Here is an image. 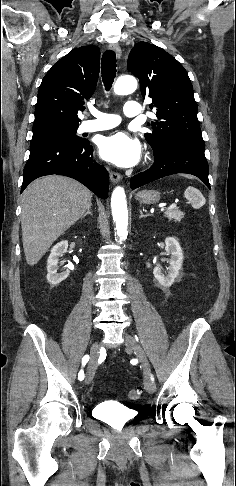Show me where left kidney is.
<instances>
[{
    "label": "left kidney",
    "instance_id": "left-kidney-1",
    "mask_svg": "<svg viewBox=\"0 0 236 486\" xmlns=\"http://www.w3.org/2000/svg\"><path fill=\"white\" fill-rule=\"evenodd\" d=\"M166 251L171 255L168 266V274L164 275L159 267H155L153 274L157 282L165 287H170L178 277L183 263V252L179 242L173 237L165 239Z\"/></svg>",
    "mask_w": 236,
    "mask_h": 486
}]
</instances>
